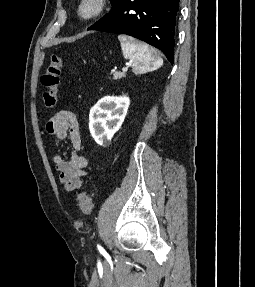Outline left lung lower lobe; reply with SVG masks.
I'll list each match as a JSON object with an SVG mask.
<instances>
[{
    "mask_svg": "<svg viewBox=\"0 0 255 287\" xmlns=\"http://www.w3.org/2000/svg\"><path fill=\"white\" fill-rule=\"evenodd\" d=\"M179 9L180 0H117L88 30L133 36L160 49L173 64Z\"/></svg>",
    "mask_w": 255,
    "mask_h": 287,
    "instance_id": "left-lung-lower-lobe-1",
    "label": "left lung lower lobe"
}]
</instances>
